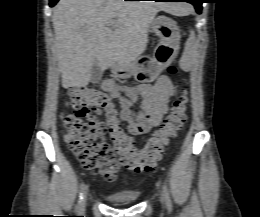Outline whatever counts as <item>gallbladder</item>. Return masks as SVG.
Segmentation results:
<instances>
[{
	"label": "gallbladder",
	"instance_id": "1",
	"mask_svg": "<svg viewBox=\"0 0 260 217\" xmlns=\"http://www.w3.org/2000/svg\"><path fill=\"white\" fill-rule=\"evenodd\" d=\"M90 82L93 84L99 83L102 78V70L99 65L94 62L90 71Z\"/></svg>",
	"mask_w": 260,
	"mask_h": 217
}]
</instances>
